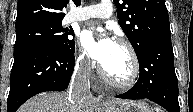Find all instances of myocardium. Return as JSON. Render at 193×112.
Wrapping results in <instances>:
<instances>
[{"label":"myocardium","mask_w":193,"mask_h":112,"mask_svg":"<svg viewBox=\"0 0 193 112\" xmlns=\"http://www.w3.org/2000/svg\"><path fill=\"white\" fill-rule=\"evenodd\" d=\"M116 43L119 45H122L128 52L130 61H131V72L129 77L124 80V81H118L113 78H111L103 69L102 66L99 67V74L102 77V79L108 83L109 85L118 88V89H129L133 87L139 78L140 75V64H139V59L137 56V53L132 46V44L124 39V38H118L116 40Z\"/></svg>","instance_id":"myocardium-1"}]
</instances>
